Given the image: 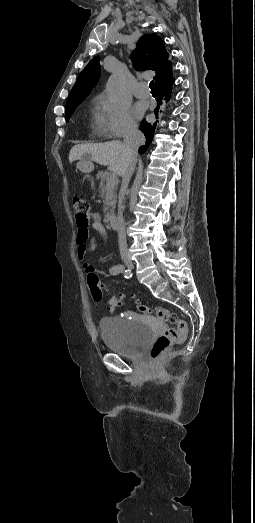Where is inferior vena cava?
Segmentation results:
<instances>
[{
    "label": "inferior vena cava",
    "instance_id": "inferior-vena-cava-1",
    "mask_svg": "<svg viewBox=\"0 0 255 523\" xmlns=\"http://www.w3.org/2000/svg\"><path fill=\"white\" fill-rule=\"evenodd\" d=\"M145 138L144 134L142 132H139L136 124H130L128 126L126 132H125V144H124V150H122V158L124 160V170L121 172L122 176V184H121V190H120V196H124L128 184L130 182V178L134 172L135 164H136V156L138 154V148L144 144ZM117 230H118V242H119V250L121 254H126L127 252V242H126V230H125V222L123 218V206H120L118 210V222H117Z\"/></svg>",
    "mask_w": 255,
    "mask_h": 523
}]
</instances>
